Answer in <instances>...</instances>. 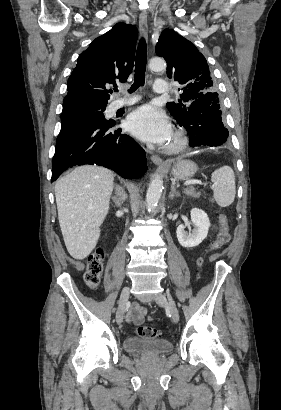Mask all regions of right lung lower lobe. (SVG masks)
Segmentation results:
<instances>
[{"instance_id": "98d812e1", "label": "right lung lower lobe", "mask_w": 281, "mask_h": 410, "mask_svg": "<svg viewBox=\"0 0 281 410\" xmlns=\"http://www.w3.org/2000/svg\"><path fill=\"white\" fill-rule=\"evenodd\" d=\"M113 120L80 124L57 138L52 161V178L75 165L96 164L114 170L124 178L135 179L147 170L144 150L121 129L109 130Z\"/></svg>"}]
</instances>
